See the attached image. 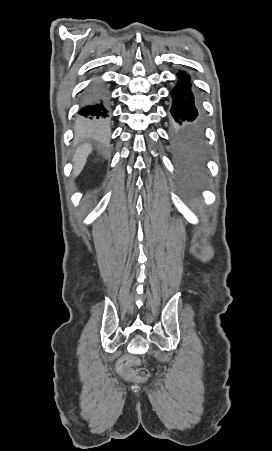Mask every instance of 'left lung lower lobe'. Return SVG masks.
<instances>
[{
	"instance_id": "left-lung-lower-lobe-1",
	"label": "left lung lower lobe",
	"mask_w": 272,
	"mask_h": 451,
	"mask_svg": "<svg viewBox=\"0 0 272 451\" xmlns=\"http://www.w3.org/2000/svg\"><path fill=\"white\" fill-rule=\"evenodd\" d=\"M176 75V85L170 91L173 152L182 164H198L202 157L198 147L200 113L197 95L189 74L179 71Z\"/></svg>"
}]
</instances>
